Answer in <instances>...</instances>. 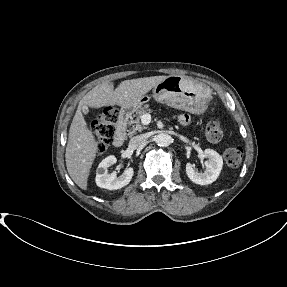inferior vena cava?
<instances>
[{"mask_svg":"<svg viewBox=\"0 0 287 287\" xmlns=\"http://www.w3.org/2000/svg\"><path fill=\"white\" fill-rule=\"evenodd\" d=\"M145 141L146 137L144 135H137L130 139L128 146L130 149H137L142 146Z\"/></svg>","mask_w":287,"mask_h":287,"instance_id":"602c4592","label":"inferior vena cava"}]
</instances>
